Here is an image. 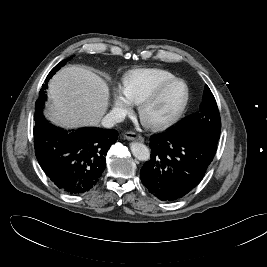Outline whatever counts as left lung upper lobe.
<instances>
[{"label":"left lung upper lobe","instance_id":"obj_1","mask_svg":"<svg viewBox=\"0 0 267 267\" xmlns=\"http://www.w3.org/2000/svg\"><path fill=\"white\" fill-rule=\"evenodd\" d=\"M182 129L200 130L211 140L218 142L221 130V120L216 100L206 85L199 112L188 116L173 127L172 131Z\"/></svg>","mask_w":267,"mask_h":267}]
</instances>
